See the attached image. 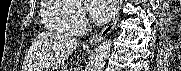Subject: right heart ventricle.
I'll list each match as a JSON object with an SVG mask.
<instances>
[{"label": "right heart ventricle", "mask_w": 181, "mask_h": 71, "mask_svg": "<svg viewBox=\"0 0 181 71\" xmlns=\"http://www.w3.org/2000/svg\"><path fill=\"white\" fill-rule=\"evenodd\" d=\"M73 5L65 0H45L41 9L44 25L57 32L76 34L69 22Z\"/></svg>", "instance_id": "e07e8e85"}]
</instances>
